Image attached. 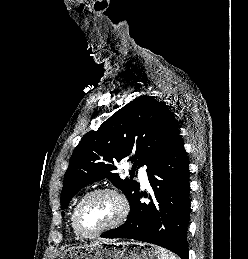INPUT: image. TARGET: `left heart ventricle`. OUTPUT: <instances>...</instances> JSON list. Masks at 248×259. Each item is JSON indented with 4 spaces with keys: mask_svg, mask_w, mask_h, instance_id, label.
<instances>
[{
    "mask_svg": "<svg viewBox=\"0 0 248 259\" xmlns=\"http://www.w3.org/2000/svg\"><path fill=\"white\" fill-rule=\"evenodd\" d=\"M119 213V201L111 194H100L83 204L79 212V222L86 232H95L112 223Z\"/></svg>",
    "mask_w": 248,
    "mask_h": 259,
    "instance_id": "1",
    "label": "left heart ventricle"
}]
</instances>
